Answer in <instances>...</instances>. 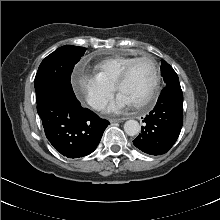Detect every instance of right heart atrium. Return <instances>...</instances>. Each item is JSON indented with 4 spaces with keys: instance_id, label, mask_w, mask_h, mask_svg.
Returning a JSON list of instances; mask_svg holds the SVG:
<instances>
[{
    "instance_id": "1",
    "label": "right heart atrium",
    "mask_w": 220,
    "mask_h": 220,
    "mask_svg": "<svg viewBox=\"0 0 220 220\" xmlns=\"http://www.w3.org/2000/svg\"><path fill=\"white\" fill-rule=\"evenodd\" d=\"M75 94L93 109H101L113 96L115 87L96 75L75 73L72 77Z\"/></svg>"
}]
</instances>
